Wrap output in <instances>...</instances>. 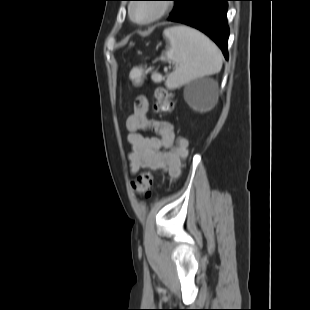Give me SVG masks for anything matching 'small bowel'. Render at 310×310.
Wrapping results in <instances>:
<instances>
[{
  "label": "small bowel",
  "instance_id": "1",
  "mask_svg": "<svg viewBox=\"0 0 310 310\" xmlns=\"http://www.w3.org/2000/svg\"><path fill=\"white\" fill-rule=\"evenodd\" d=\"M148 111V97L145 94L138 95L126 122L131 145L128 156L130 172L135 175L141 169L161 170L177 178L188 155V140L184 136H177L171 123L149 117ZM149 131L158 136L143 135Z\"/></svg>",
  "mask_w": 310,
  "mask_h": 310
}]
</instances>
